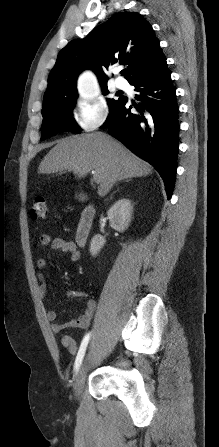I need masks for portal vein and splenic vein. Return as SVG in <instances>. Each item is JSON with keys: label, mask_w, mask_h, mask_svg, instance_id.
I'll use <instances>...</instances> for the list:
<instances>
[{"label": "portal vein and splenic vein", "mask_w": 219, "mask_h": 447, "mask_svg": "<svg viewBox=\"0 0 219 447\" xmlns=\"http://www.w3.org/2000/svg\"><path fill=\"white\" fill-rule=\"evenodd\" d=\"M92 174H95V172H94V171H92ZM94 180H95V182H97L95 178H94Z\"/></svg>", "instance_id": "portal-vein-and-splenic-vein-1"}]
</instances>
